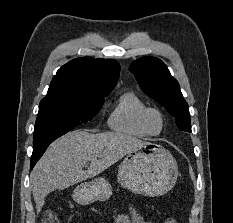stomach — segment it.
Instances as JSON below:
<instances>
[{"instance_id":"obj_1","label":"stomach","mask_w":233,"mask_h":223,"mask_svg":"<svg viewBox=\"0 0 233 223\" xmlns=\"http://www.w3.org/2000/svg\"><path fill=\"white\" fill-rule=\"evenodd\" d=\"M178 175V165L168 149L144 141L142 147H134L118 165L117 181L132 193L148 197L164 195L173 187ZM112 185L105 177H95L75 187L72 197L80 205L93 201H107L112 195Z\"/></svg>"}]
</instances>
